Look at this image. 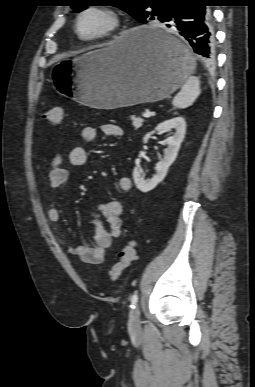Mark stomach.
Here are the masks:
<instances>
[{
    "instance_id": "stomach-1",
    "label": "stomach",
    "mask_w": 255,
    "mask_h": 387,
    "mask_svg": "<svg viewBox=\"0 0 255 387\" xmlns=\"http://www.w3.org/2000/svg\"><path fill=\"white\" fill-rule=\"evenodd\" d=\"M151 31L164 30L150 25L136 27L103 48L60 61L52 69L55 88L67 98L98 109L167 98L185 83L194 61L187 47L171 34L167 33L184 52L181 57H168L146 43L142 36Z\"/></svg>"
}]
</instances>
